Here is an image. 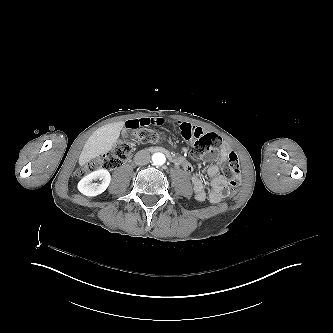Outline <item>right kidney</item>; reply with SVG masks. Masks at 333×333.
<instances>
[{"label":"right kidney","instance_id":"right-kidney-1","mask_svg":"<svg viewBox=\"0 0 333 333\" xmlns=\"http://www.w3.org/2000/svg\"><path fill=\"white\" fill-rule=\"evenodd\" d=\"M103 179L102 184L99 186L92 184L94 179ZM111 182V175L108 170L100 169L91 172L83 177L77 184L78 191L88 197H94L102 194L106 191Z\"/></svg>","mask_w":333,"mask_h":333}]
</instances>
